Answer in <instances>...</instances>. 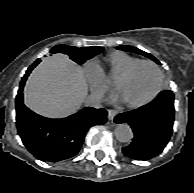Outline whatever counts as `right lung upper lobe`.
<instances>
[{
    "instance_id": "cb5924a9",
    "label": "right lung upper lobe",
    "mask_w": 194,
    "mask_h": 193,
    "mask_svg": "<svg viewBox=\"0 0 194 193\" xmlns=\"http://www.w3.org/2000/svg\"><path fill=\"white\" fill-rule=\"evenodd\" d=\"M40 62V59H37L29 68L27 71H32Z\"/></svg>"
}]
</instances>
